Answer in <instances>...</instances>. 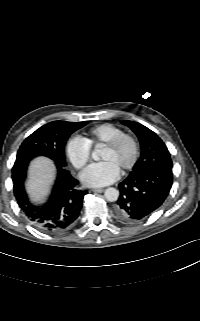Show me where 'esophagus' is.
I'll return each mask as SVG.
<instances>
[{"label":"esophagus","mask_w":200,"mask_h":321,"mask_svg":"<svg viewBox=\"0 0 200 321\" xmlns=\"http://www.w3.org/2000/svg\"><path fill=\"white\" fill-rule=\"evenodd\" d=\"M93 192H96V193H102L104 191V189L102 188H95V189H92Z\"/></svg>","instance_id":"esophagus-1"}]
</instances>
